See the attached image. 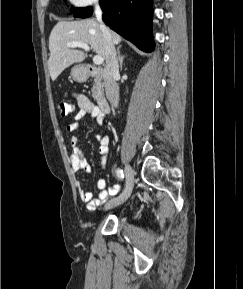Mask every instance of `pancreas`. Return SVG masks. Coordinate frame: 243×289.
Wrapping results in <instances>:
<instances>
[{"instance_id": "cf45deb5", "label": "pancreas", "mask_w": 243, "mask_h": 289, "mask_svg": "<svg viewBox=\"0 0 243 289\" xmlns=\"http://www.w3.org/2000/svg\"><path fill=\"white\" fill-rule=\"evenodd\" d=\"M102 92H103V84H102V80L100 77H96L94 79V84L92 87V97L96 100L99 101V99L102 96Z\"/></svg>"}]
</instances>
